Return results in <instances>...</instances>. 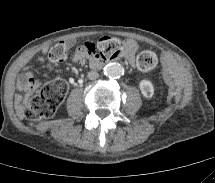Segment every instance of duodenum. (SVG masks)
<instances>
[{"instance_id": "1", "label": "duodenum", "mask_w": 215, "mask_h": 183, "mask_svg": "<svg viewBox=\"0 0 215 183\" xmlns=\"http://www.w3.org/2000/svg\"><path fill=\"white\" fill-rule=\"evenodd\" d=\"M108 62L106 61H98V60H95L93 62H91V68L93 69H99L101 68L102 66H104L105 64H107Z\"/></svg>"}]
</instances>
